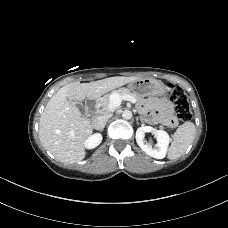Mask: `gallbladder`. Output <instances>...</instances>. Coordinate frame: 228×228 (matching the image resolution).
<instances>
[{"mask_svg": "<svg viewBox=\"0 0 228 228\" xmlns=\"http://www.w3.org/2000/svg\"><path fill=\"white\" fill-rule=\"evenodd\" d=\"M72 102L75 104V106H76L80 111H83V106H82V104H80L79 102H77V101H75V100H73Z\"/></svg>", "mask_w": 228, "mask_h": 228, "instance_id": "obj_1", "label": "gallbladder"}]
</instances>
